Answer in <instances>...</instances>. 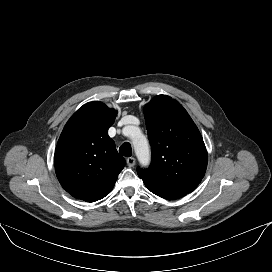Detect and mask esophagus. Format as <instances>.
<instances>
[{"mask_svg":"<svg viewBox=\"0 0 272 272\" xmlns=\"http://www.w3.org/2000/svg\"><path fill=\"white\" fill-rule=\"evenodd\" d=\"M135 163H136V161H135V158H134V157H128V158H127V165H128L129 167H134V166H135Z\"/></svg>","mask_w":272,"mask_h":272,"instance_id":"34e87169","label":"esophagus"}]
</instances>
